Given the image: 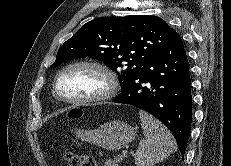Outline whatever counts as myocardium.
Here are the masks:
<instances>
[{
  "label": "myocardium",
  "mask_w": 231,
  "mask_h": 166,
  "mask_svg": "<svg viewBox=\"0 0 231 166\" xmlns=\"http://www.w3.org/2000/svg\"><path fill=\"white\" fill-rule=\"evenodd\" d=\"M77 67H88L100 72L106 81L105 88L101 92L88 97H81V98L64 97L59 90V86H58L59 79L65 72ZM53 89L56 97L60 101H63L65 103L75 104V105L94 104V103L107 101L115 96L118 90V79L115 72L103 62H100L98 60H92V59L77 60L65 65L57 72L53 82Z\"/></svg>",
  "instance_id": "1"
}]
</instances>
